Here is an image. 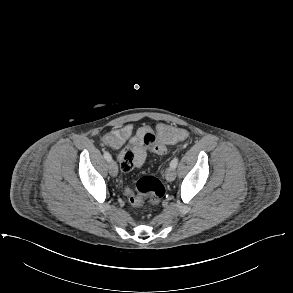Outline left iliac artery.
I'll use <instances>...</instances> for the list:
<instances>
[{
  "label": "left iliac artery",
  "instance_id": "left-iliac-artery-1",
  "mask_svg": "<svg viewBox=\"0 0 293 293\" xmlns=\"http://www.w3.org/2000/svg\"><path fill=\"white\" fill-rule=\"evenodd\" d=\"M178 161H179L178 157L173 158V160L170 162V167L175 169L178 165Z\"/></svg>",
  "mask_w": 293,
  "mask_h": 293
}]
</instances>
